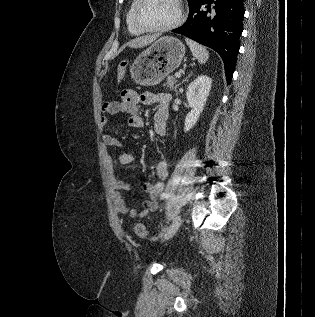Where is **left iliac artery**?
<instances>
[{
    "instance_id": "1",
    "label": "left iliac artery",
    "mask_w": 315,
    "mask_h": 317,
    "mask_svg": "<svg viewBox=\"0 0 315 317\" xmlns=\"http://www.w3.org/2000/svg\"><path fill=\"white\" fill-rule=\"evenodd\" d=\"M167 195H168L167 193H163V194L161 195L162 199L166 198Z\"/></svg>"
}]
</instances>
